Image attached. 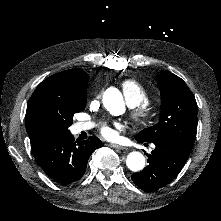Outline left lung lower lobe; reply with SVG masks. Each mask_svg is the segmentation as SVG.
<instances>
[{"mask_svg":"<svg viewBox=\"0 0 221 221\" xmlns=\"http://www.w3.org/2000/svg\"><path fill=\"white\" fill-rule=\"evenodd\" d=\"M139 143H153L156 147L148 156L149 165L141 172L132 175L133 182L142 190L155 191L171 182L181 171L190 153L167 139L145 141L136 138Z\"/></svg>","mask_w":221,"mask_h":221,"instance_id":"left-lung-lower-lobe-1","label":"left lung lower lobe"}]
</instances>
